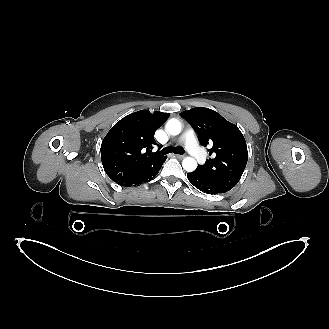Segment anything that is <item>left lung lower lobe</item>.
Listing matches in <instances>:
<instances>
[{
  "label": "left lung lower lobe",
  "instance_id": "left-lung-lower-lobe-1",
  "mask_svg": "<svg viewBox=\"0 0 329 329\" xmlns=\"http://www.w3.org/2000/svg\"><path fill=\"white\" fill-rule=\"evenodd\" d=\"M187 177L192 185L207 194L215 195L219 193H225L231 190L230 188L222 184L208 179L202 173L197 172L196 170L191 173H187Z\"/></svg>",
  "mask_w": 329,
  "mask_h": 329
}]
</instances>
